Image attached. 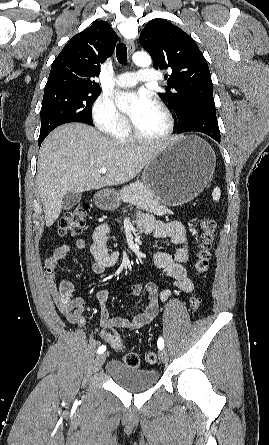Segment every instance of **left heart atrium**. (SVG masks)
<instances>
[{"mask_svg":"<svg viewBox=\"0 0 269 445\" xmlns=\"http://www.w3.org/2000/svg\"><path fill=\"white\" fill-rule=\"evenodd\" d=\"M154 105V101L152 100L151 96L147 94L146 92H138L135 96V110H134V117H137L141 115L142 113L149 110Z\"/></svg>","mask_w":269,"mask_h":445,"instance_id":"1","label":"left heart atrium"}]
</instances>
